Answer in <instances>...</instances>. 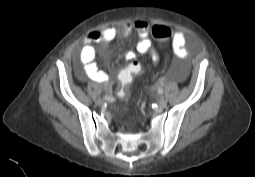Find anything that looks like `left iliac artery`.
<instances>
[{
    "instance_id": "left-iliac-artery-1",
    "label": "left iliac artery",
    "mask_w": 255,
    "mask_h": 177,
    "mask_svg": "<svg viewBox=\"0 0 255 177\" xmlns=\"http://www.w3.org/2000/svg\"><path fill=\"white\" fill-rule=\"evenodd\" d=\"M158 93H159V94H162V93H163V89H162V88H159V89H158Z\"/></svg>"
}]
</instances>
